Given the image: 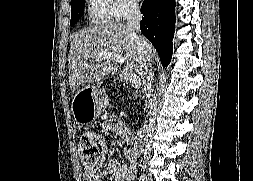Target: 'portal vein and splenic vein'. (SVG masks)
I'll list each match as a JSON object with an SVG mask.
<instances>
[{"mask_svg":"<svg viewBox=\"0 0 253 181\" xmlns=\"http://www.w3.org/2000/svg\"><path fill=\"white\" fill-rule=\"evenodd\" d=\"M98 58H104V59H112L113 61L123 64L125 62V58L118 54V53H112V52H102L97 55ZM128 79L130 81V84L134 88H139L141 86V82L139 77L136 73L132 71L127 72Z\"/></svg>","mask_w":253,"mask_h":181,"instance_id":"obj_1","label":"portal vein and splenic vein"}]
</instances>
